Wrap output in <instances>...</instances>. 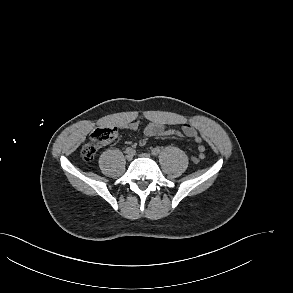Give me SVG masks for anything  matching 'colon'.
Wrapping results in <instances>:
<instances>
[{
    "label": "colon",
    "mask_w": 293,
    "mask_h": 293,
    "mask_svg": "<svg viewBox=\"0 0 293 293\" xmlns=\"http://www.w3.org/2000/svg\"><path fill=\"white\" fill-rule=\"evenodd\" d=\"M116 136L117 131L114 127H100L95 129L90 136V141L81 149L82 158L87 162L94 160L99 148L112 142ZM203 158L204 154L201 152L198 157L193 158V162L197 163Z\"/></svg>",
    "instance_id": "5ec220e1"
}]
</instances>
